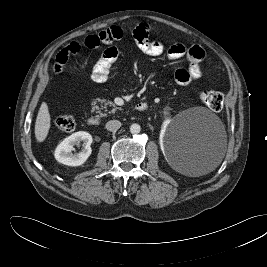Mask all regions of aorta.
I'll use <instances>...</instances> for the list:
<instances>
[{"instance_id": "obj_1", "label": "aorta", "mask_w": 267, "mask_h": 267, "mask_svg": "<svg viewBox=\"0 0 267 267\" xmlns=\"http://www.w3.org/2000/svg\"><path fill=\"white\" fill-rule=\"evenodd\" d=\"M141 131V127H140V125L139 124H132L131 126H130V132L132 133V134H138L139 132Z\"/></svg>"}]
</instances>
